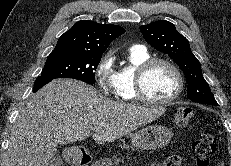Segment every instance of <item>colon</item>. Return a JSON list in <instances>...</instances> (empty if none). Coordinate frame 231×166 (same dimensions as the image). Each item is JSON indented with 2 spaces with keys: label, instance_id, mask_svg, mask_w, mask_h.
<instances>
[{
  "label": "colon",
  "instance_id": "obj_1",
  "mask_svg": "<svg viewBox=\"0 0 231 166\" xmlns=\"http://www.w3.org/2000/svg\"><path fill=\"white\" fill-rule=\"evenodd\" d=\"M174 117L178 125L186 126L194 117V110L188 106H179L174 110ZM196 166H209L216 152V140L214 136L206 131L199 133L192 142ZM181 158L173 155L168 157L162 166H180ZM50 166H62L54 163Z\"/></svg>",
  "mask_w": 231,
  "mask_h": 166
}]
</instances>
